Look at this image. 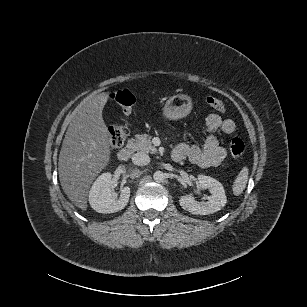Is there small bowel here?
<instances>
[{
	"label": "small bowel",
	"instance_id": "c3829d8e",
	"mask_svg": "<svg viewBox=\"0 0 307 307\" xmlns=\"http://www.w3.org/2000/svg\"><path fill=\"white\" fill-rule=\"evenodd\" d=\"M236 129L232 119H223L216 113H211L206 118L207 136L202 146L179 144L172 152L175 161L188 160L202 167H216L227 156V151L219 144L217 133L222 131L225 135L232 134Z\"/></svg>",
	"mask_w": 307,
	"mask_h": 307
}]
</instances>
